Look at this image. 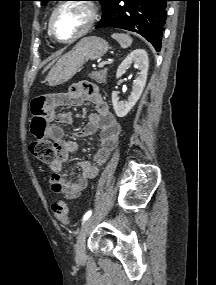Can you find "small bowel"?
I'll list each match as a JSON object with an SVG mask.
<instances>
[{
	"label": "small bowel",
	"mask_w": 216,
	"mask_h": 285,
	"mask_svg": "<svg viewBox=\"0 0 216 285\" xmlns=\"http://www.w3.org/2000/svg\"><path fill=\"white\" fill-rule=\"evenodd\" d=\"M85 103L94 105L96 111L87 116L86 125L75 132L79 137L98 134L99 146L92 160L78 162L81 175L77 180L66 177L64 167L70 154L78 151V143L64 139L63 126L73 121L70 112L54 114L53 107L82 106ZM31 130L33 136H41V141H52L56 155L49 163L51 171L50 186L56 193H63L67 197H75L83 191L88 180L98 174V167L103 165L116 147L121 127L110 112L107 102L98 87L90 82H79L70 87L67 92L56 94L47 100L36 99L32 103ZM55 119V124L49 121Z\"/></svg>",
	"instance_id": "small-bowel-1"
}]
</instances>
